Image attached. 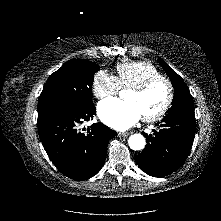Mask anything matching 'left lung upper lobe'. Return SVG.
Here are the masks:
<instances>
[{"label": "left lung upper lobe", "mask_w": 221, "mask_h": 221, "mask_svg": "<svg viewBox=\"0 0 221 221\" xmlns=\"http://www.w3.org/2000/svg\"><path fill=\"white\" fill-rule=\"evenodd\" d=\"M159 62L175 89L172 107L167 115L194 114L193 98L183 79L162 59L159 58Z\"/></svg>", "instance_id": "left-lung-upper-lobe-1"}]
</instances>
